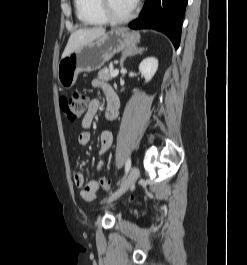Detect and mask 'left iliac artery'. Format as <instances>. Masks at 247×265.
<instances>
[{"label": "left iliac artery", "mask_w": 247, "mask_h": 265, "mask_svg": "<svg viewBox=\"0 0 247 265\" xmlns=\"http://www.w3.org/2000/svg\"><path fill=\"white\" fill-rule=\"evenodd\" d=\"M130 168H131V159H128L126 161V163H125V172H126V175L129 172Z\"/></svg>", "instance_id": "left-iliac-artery-1"}]
</instances>
